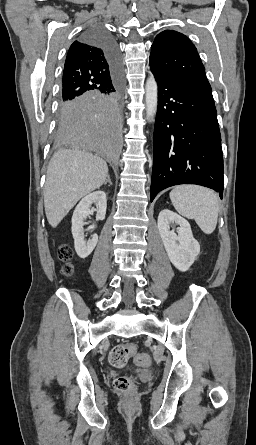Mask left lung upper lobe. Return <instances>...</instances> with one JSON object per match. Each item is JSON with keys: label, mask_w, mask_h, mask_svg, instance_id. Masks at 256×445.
Returning <instances> with one entry per match:
<instances>
[{"label": "left lung upper lobe", "mask_w": 256, "mask_h": 445, "mask_svg": "<svg viewBox=\"0 0 256 445\" xmlns=\"http://www.w3.org/2000/svg\"><path fill=\"white\" fill-rule=\"evenodd\" d=\"M150 66L151 70L177 75L211 91L196 47L182 33L165 30L157 35L151 47Z\"/></svg>", "instance_id": "1"}]
</instances>
